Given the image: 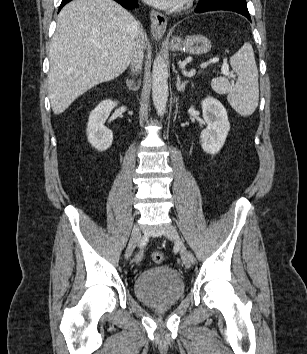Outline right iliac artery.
<instances>
[{"mask_svg":"<svg viewBox=\"0 0 307 354\" xmlns=\"http://www.w3.org/2000/svg\"><path fill=\"white\" fill-rule=\"evenodd\" d=\"M142 255H143V253L140 252V253L137 255V259H136V260L139 261V260L141 259Z\"/></svg>","mask_w":307,"mask_h":354,"instance_id":"right-iliac-artery-1","label":"right iliac artery"}]
</instances>
